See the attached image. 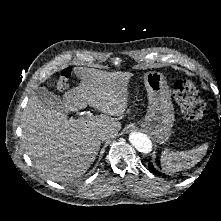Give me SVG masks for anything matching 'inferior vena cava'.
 Here are the masks:
<instances>
[{
    "mask_svg": "<svg viewBox=\"0 0 221 221\" xmlns=\"http://www.w3.org/2000/svg\"><path fill=\"white\" fill-rule=\"evenodd\" d=\"M101 137H102L103 139H106V138L109 137V133H107V132H102V133H101Z\"/></svg>",
    "mask_w": 221,
    "mask_h": 221,
    "instance_id": "inferior-vena-cava-1",
    "label": "inferior vena cava"
}]
</instances>
